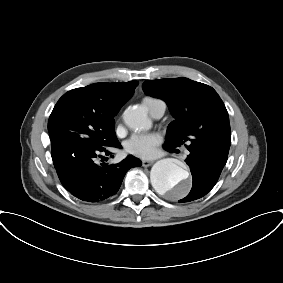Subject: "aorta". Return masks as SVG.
I'll use <instances>...</instances> for the list:
<instances>
[{"instance_id":"obj_1","label":"aorta","mask_w":283,"mask_h":283,"mask_svg":"<svg viewBox=\"0 0 283 283\" xmlns=\"http://www.w3.org/2000/svg\"><path fill=\"white\" fill-rule=\"evenodd\" d=\"M125 124L133 130H141L150 126L144 109L140 107L127 108L123 113ZM153 188L159 194H170L174 198L184 197L190 188L189 173L173 159L157 161L150 172Z\"/></svg>"}]
</instances>
